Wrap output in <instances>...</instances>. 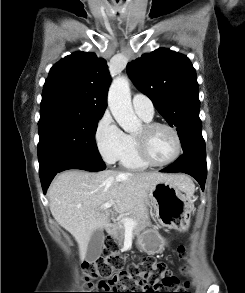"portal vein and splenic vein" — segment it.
I'll return each instance as SVG.
<instances>
[{"mask_svg": "<svg viewBox=\"0 0 245 293\" xmlns=\"http://www.w3.org/2000/svg\"><path fill=\"white\" fill-rule=\"evenodd\" d=\"M112 205L113 202H107L101 206V209L110 208ZM122 222L124 224L125 230H133V228L137 225V222L130 218H122Z\"/></svg>", "mask_w": 245, "mask_h": 293, "instance_id": "18ae733b", "label": "portal vein and splenic vein"}]
</instances>
